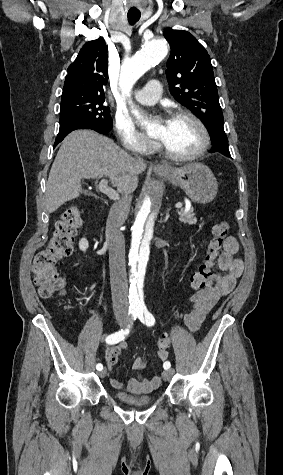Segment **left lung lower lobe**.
Returning <instances> with one entry per match:
<instances>
[{"label": "left lung lower lobe", "instance_id": "0a47b994", "mask_svg": "<svg viewBox=\"0 0 283 475\" xmlns=\"http://www.w3.org/2000/svg\"><path fill=\"white\" fill-rule=\"evenodd\" d=\"M212 141L211 153H220L226 157H231L228 150V139L225 132L210 133Z\"/></svg>", "mask_w": 283, "mask_h": 475}]
</instances>
